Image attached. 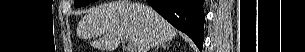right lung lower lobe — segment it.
<instances>
[{"label":"right lung lower lobe","instance_id":"obj_1","mask_svg":"<svg viewBox=\"0 0 305 52\" xmlns=\"http://www.w3.org/2000/svg\"><path fill=\"white\" fill-rule=\"evenodd\" d=\"M178 30L187 34L199 50L204 40V0H146Z\"/></svg>","mask_w":305,"mask_h":52}]
</instances>
